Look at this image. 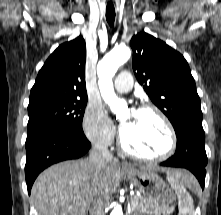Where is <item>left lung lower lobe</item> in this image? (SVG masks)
I'll return each mask as SVG.
<instances>
[{"label":"left lung lower lobe","instance_id":"left-lung-lower-lobe-1","mask_svg":"<svg viewBox=\"0 0 221 215\" xmlns=\"http://www.w3.org/2000/svg\"><path fill=\"white\" fill-rule=\"evenodd\" d=\"M176 135L175 154L160 165L188 169L196 176L203 189L207 165L203 127L200 124H187Z\"/></svg>","mask_w":221,"mask_h":215}]
</instances>
